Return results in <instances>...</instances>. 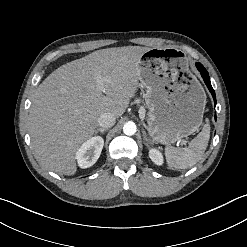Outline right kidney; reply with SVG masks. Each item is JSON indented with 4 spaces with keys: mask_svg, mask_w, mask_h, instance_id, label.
Returning a JSON list of instances; mask_svg holds the SVG:
<instances>
[{
    "mask_svg": "<svg viewBox=\"0 0 247 247\" xmlns=\"http://www.w3.org/2000/svg\"><path fill=\"white\" fill-rule=\"evenodd\" d=\"M104 140L95 136L85 141L76 152V159L81 168H88L96 163L103 149Z\"/></svg>",
    "mask_w": 247,
    "mask_h": 247,
    "instance_id": "right-kidney-1",
    "label": "right kidney"
}]
</instances>
